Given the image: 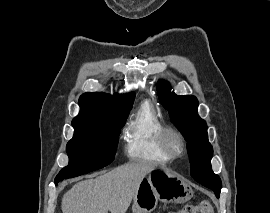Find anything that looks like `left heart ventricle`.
Returning a JSON list of instances; mask_svg holds the SVG:
<instances>
[{
  "instance_id": "left-heart-ventricle-1",
  "label": "left heart ventricle",
  "mask_w": 270,
  "mask_h": 213,
  "mask_svg": "<svg viewBox=\"0 0 270 213\" xmlns=\"http://www.w3.org/2000/svg\"><path fill=\"white\" fill-rule=\"evenodd\" d=\"M171 144H172V147H173L174 149H178L179 144H178V142H177L175 139H172Z\"/></svg>"
}]
</instances>
